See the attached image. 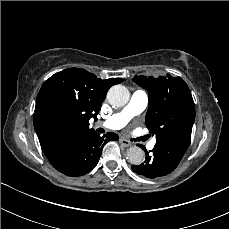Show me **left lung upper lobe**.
<instances>
[{
	"mask_svg": "<svg viewBox=\"0 0 229 229\" xmlns=\"http://www.w3.org/2000/svg\"><path fill=\"white\" fill-rule=\"evenodd\" d=\"M133 81L149 92L145 123L156 136L165 159L178 165L191 140L195 105L191 92L180 77L135 76Z\"/></svg>",
	"mask_w": 229,
	"mask_h": 229,
	"instance_id": "obj_1",
	"label": "left lung upper lobe"
}]
</instances>
